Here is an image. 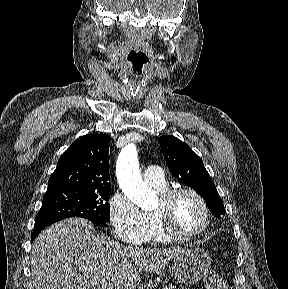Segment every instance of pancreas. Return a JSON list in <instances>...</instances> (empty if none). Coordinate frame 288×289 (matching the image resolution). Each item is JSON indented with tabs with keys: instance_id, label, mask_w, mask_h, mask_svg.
I'll return each mask as SVG.
<instances>
[{
	"instance_id": "cf45deb5",
	"label": "pancreas",
	"mask_w": 288,
	"mask_h": 289,
	"mask_svg": "<svg viewBox=\"0 0 288 289\" xmlns=\"http://www.w3.org/2000/svg\"><path fill=\"white\" fill-rule=\"evenodd\" d=\"M166 289H187V288H183V287L179 288L176 286L169 285L168 288H166Z\"/></svg>"
}]
</instances>
